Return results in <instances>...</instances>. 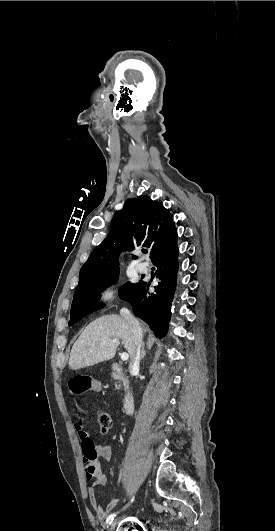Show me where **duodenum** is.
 Wrapping results in <instances>:
<instances>
[{
    "label": "duodenum",
    "mask_w": 275,
    "mask_h": 531,
    "mask_svg": "<svg viewBox=\"0 0 275 531\" xmlns=\"http://www.w3.org/2000/svg\"><path fill=\"white\" fill-rule=\"evenodd\" d=\"M111 370L117 374H122L124 371L123 367L117 363L112 364ZM122 407L125 414L131 413L134 408V395L130 389H127L125 392Z\"/></svg>",
    "instance_id": "410a0bca"
}]
</instances>
